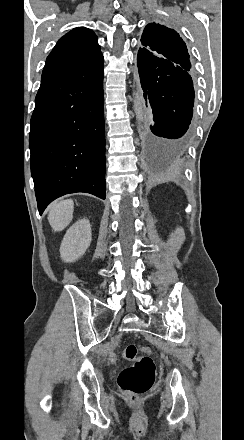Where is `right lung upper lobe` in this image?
I'll list each match as a JSON object with an SVG mask.
<instances>
[{"instance_id":"cb5924a9","label":"right lung upper lobe","mask_w":244,"mask_h":440,"mask_svg":"<svg viewBox=\"0 0 244 440\" xmlns=\"http://www.w3.org/2000/svg\"><path fill=\"white\" fill-rule=\"evenodd\" d=\"M103 63V55L93 31L78 27L65 34L47 57L42 78Z\"/></svg>"}]
</instances>
